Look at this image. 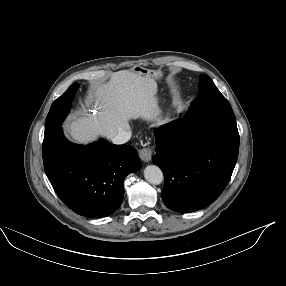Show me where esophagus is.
Returning a JSON list of instances; mask_svg holds the SVG:
<instances>
[{
	"mask_svg": "<svg viewBox=\"0 0 286 286\" xmlns=\"http://www.w3.org/2000/svg\"><path fill=\"white\" fill-rule=\"evenodd\" d=\"M152 153L153 152H152V149L150 147H144V148L140 149L139 156L143 162L148 163L152 159Z\"/></svg>",
	"mask_w": 286,
	"mask_h": 286,
	"instance_id": "34e87169",
	"label": "esophagus"
}]
</instances>
